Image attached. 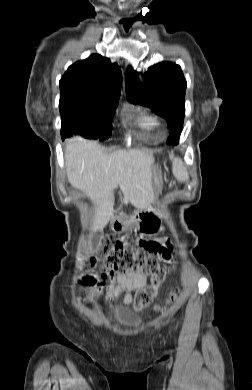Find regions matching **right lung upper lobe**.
Masks as SVG:
<instances>
[{
    "mask_svg": "<svg viewBox=\"0 0 252 390\" xmlns=\"http://www.w3.org/2000/svg\"><path fill=\"white\" fill-rule=\"evenodd\" d=\"M121 82L118 65L93 54L72 64L60 79L59 108L88 105L116 108Z\"/></svg>",
    "mask_w": 252,
    "mask_h": 390,
    "instance_id": "1",
    "label": "right lung upper lobe"
}]
</instances>
